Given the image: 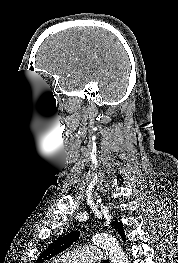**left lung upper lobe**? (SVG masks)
Wrapping results in <instances>:
<instances>
[{
  "label": "left lung upper lobe",
  "instance_id": "obj_1",
  "mask_svg": "<svg viewBox=\"0 0 178 263\" xmlns=\"http://www.w3.org/2000/svg\"><path fill=\"white\" fill-rule=\"evenodd\" d=\"M113 228H115L118 233L122 230L123 224L115 220L111 223ZM79 238V233L72 231L67 235L61 237L60 239L49 244L47 249L38 257L35 263H44L46 260L51 259L53 256L59 254L60 252L67 249L73 242L77 241Z\"/></svg>",
  "mask_w": 178,
  "mask_h": 263
}]
</instances>
